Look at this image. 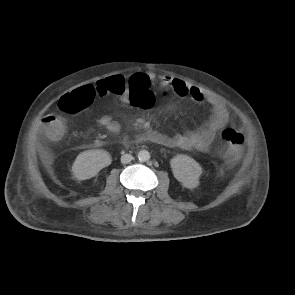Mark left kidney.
<instances>
[{"mask_svg":"<svg viewBox=\"0 0 295 295\" xmlns=\"http://www.w3.org/2000/svg\"><path fill=\"white\" fill-rule=\"evenodd\" d=\"M170 165L174 177L183 187L193 189L199 185L202 168L194 159L180 154L170 160Z\"/></svg>","mask_w":295,"mask_h":295,"instance_id":"left-kidney-1","label":"left kidney"}]
</instances>
